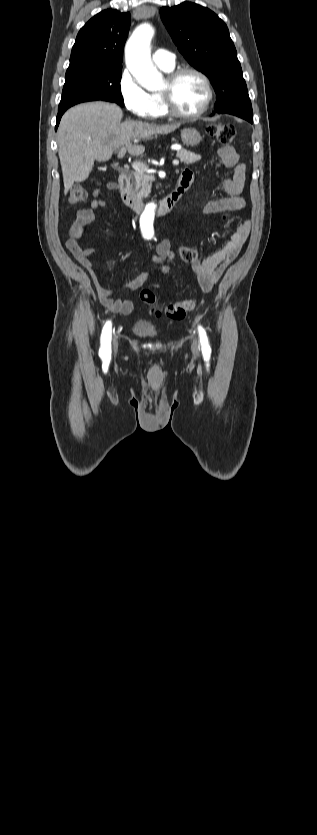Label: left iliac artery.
<instances>
[{
    "mask_svg": "<svg viewBox=\"0 0 317 835\" xmlns=\"http://www.w3.org/2000/svg\"><path fill=\"white\" fill-rule=\"evenodd\" d=\"M198 331H199V337H200V343H201V349H202L203 356H204L205 359H209L210 354H211V348H210V345H209V342H208V337H207L206 331L203 329L202 326L198 327Z\"/></svg>",
    "mask_w": 317,
    "mask_h": 835,
    "instance_id": "obj_1",
    "label": "left iliac artery"
}]
</instances>
